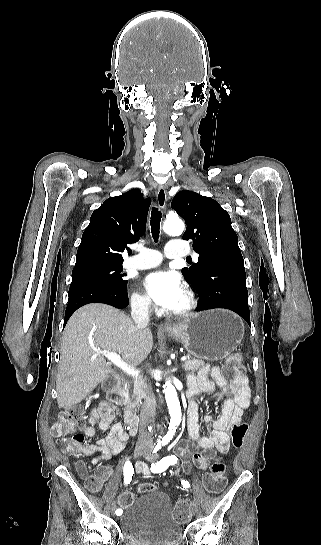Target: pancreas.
Here are the masks:
<instances>
[{
    "label": "pancreas",
    "mask_w": 321,
    "mask_h": 545,
    "mask_svg": "<svg viewBox=\"0 0 321 545\" xmlns=\"http://www.w3.org/2000/svg\"><path fill=\"white\" fill-rule=\"evenodd\" d=\"M205 365L204 361H200V359H188V361H185L184 365H182L183 369L185 371H197V369H200V367H203ZM132 383V395H130L129 391H124V397L126 401H128L129 397L131 399H135V403H140L141 399H144L145 397V391H146V385L141 381V379H133L131 381Z\"/></svg>",
    "instance_id": "cf45deb5"
}]
</instances>
